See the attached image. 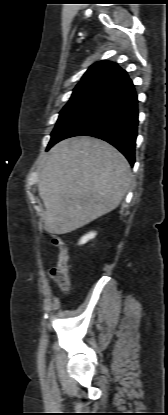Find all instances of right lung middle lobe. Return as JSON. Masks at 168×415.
<instances>
[{
    "label": "right lung middle lobe",
    "instance_id": "right-lung-middle-lobe-1",
    "mask_svg": "<svg viewBox=\"0 0 168 415\" xmlns=\"http://www.w3.org/2000/svg\"><path fill=\"white\" fill-rule=\"evenodd\" d=\"M98 95L99 93L95 92L73 93L69 102L60 112L58 121L51 134V137H53L74 114H76L81 108H83L87 103L96 98Z\"/></svg>",
    "mask_w": 168,
    "mask_h": 415
}]
</instances>
